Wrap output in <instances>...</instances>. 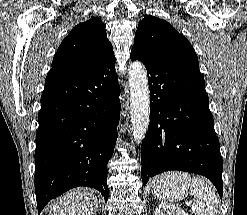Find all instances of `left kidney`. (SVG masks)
Returning <instances> with one entry per match:
<instances>
[{
	"instance_id": "1",
	"label": "left kidney",
	"mask_w": 247,
	"mask_h": 215,
	"mask_svg": "<svg viewBox=\"0 0 247 215\" xmlns=\"http://www.w3.org/2000/svg\"><path fill=\"white\" fill-rule=\"evenodd\" d=\"M155 215H189V214L174 205L161 203L156 208Z\"/></svg>"
}]
</instances>
